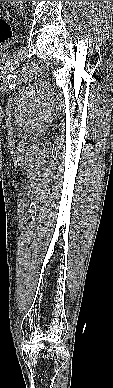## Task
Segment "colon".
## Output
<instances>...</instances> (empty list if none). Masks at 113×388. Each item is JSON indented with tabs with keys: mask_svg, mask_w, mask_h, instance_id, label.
<instances>
[{
	"mask_svg": "<svg viewBox=\"0 0 113 388\" xmlns=\"http://www.w3.org/2000/svg\"><path fill=\"white\" fill-rule=\"evenodd\" d=\"M12 20L11 15L0 16V42L7 41L12 36Z\"/></svg>",
	"mask_w": 113,
	"mask_h": 388,
	"instance_id": "colon-1",
	"label": "colon"
}]
</instances>
